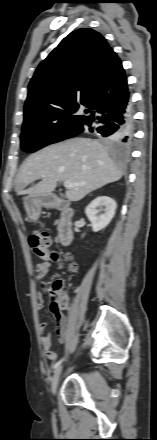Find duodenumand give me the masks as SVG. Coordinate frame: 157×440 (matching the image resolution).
Listing matches in <instances>:
<instances>
[{"mask_svg":"<svg viewBox=\"0 0 157 440\" xmlns=\"http://www.w3.org/2000/svg\"><path fill=\"white\" fill-rule=\"evenodd\" d=\"M41 201L46 205L60 210V215L57 222V233L61 244L69 245L73 238L72 218L74 210L71 205L52 196L41 198Z\"/></svg>","mask_w":157,"mask_h":440,"instance_id":"duodenum-1","label":"duodenum"}]
</instances>
